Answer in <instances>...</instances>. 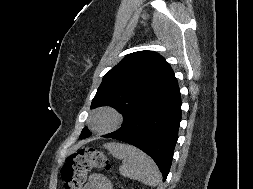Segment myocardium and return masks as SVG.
Masks as SVG:
<instances>
[{
  "mask_svg": "<svg viewBox=\"0 0 253 189\" xmlns=\"http://www.w3.org/2000/svg\"><path fill=\"white\" fill-rule=\"evenodd\" d=\"M102 115H106L109 118V123L107 126L100 128L97 127L96 121ZM121 123H122L121 114L114 108L108 106L98 108L96 111H94L90 119V125L92 129L101 134L114 131L120 126Z\"/></svg>",
  "mask_w": 253,
  "mask_h": 189,
  "instance_id": "myocardium-1",
  "label": "myocardium"
}]
</instances>
